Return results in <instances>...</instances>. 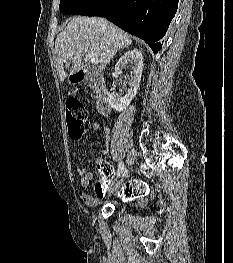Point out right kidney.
<instances>
[{
    "mask_svg": "<svg viewBox=\"0 0 233 263\" xmlns=\"http://www.w3.org/2000/svg\"><path fill=\"white\" fill-rule=\"evenodd\" d=\"M126 68L132 70L128 76L129 89L127 94L122 97L113 92L108 96L111 107L118 112L126 109L137 94L143 72V53L141 50H129L119 58L115 65V71L122 72Z\"/></svg>",
    "mask_w": 233,
    "mask_h": 263,
    "instance_id": "1",
    "label": "right kidney"
}]
</instances>
